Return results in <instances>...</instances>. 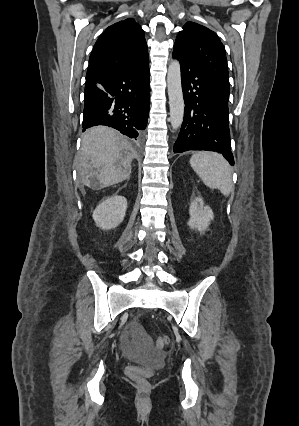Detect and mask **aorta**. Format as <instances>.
I'll return each instance as SVG.
<instances>
[{
	"mask_svg": "<svg viewBox=\"0 0 299 426\" xmlns=\"http://www.w3.org/2000/svg\"><path fill=\"white\" fill-rule=\"evenodd\" d=\"M167 88L170 106V122L173 130H177L184 118V99L181 84L180 63L173 60L167 73Z\"/></svg>",
	"mask_w": 299,
	"mask_h": 426,
	"instance_id": "762f6f07",
	"label": "aorta"
}]
</instances>
